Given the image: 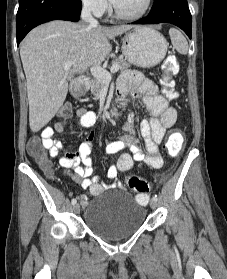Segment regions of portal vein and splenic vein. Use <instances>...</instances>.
I'll list each match as a JSON object with an SVG mask.
<instances>
[{
	"instance_id": "portal-vein-and-splenic-vein-1",
	"label": "portal vein and splenic vein",
	"mask_w": 227,
	"mask_h": 279,
	"mask_svg": "<svg viewBox=\"0 0 227 279\" xmlns=\"http://www.w3.org/2000/svg\"><path fill=\"white\" fill-rule=\"evenodd\" d=\"M74 61H68L63 64L65 70H69ZM119 70L118 65H112L110 72L103 69L98 65H92L90 68L91 74L98 80L104 82H110L112 79V74Z\"/></svg>"
}]
</instances>
